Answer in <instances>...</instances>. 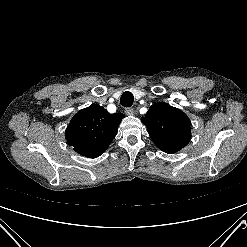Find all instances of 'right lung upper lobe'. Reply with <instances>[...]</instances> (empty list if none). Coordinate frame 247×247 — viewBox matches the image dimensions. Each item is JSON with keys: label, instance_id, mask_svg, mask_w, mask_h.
Masks as SVG:
<instances>
[{"label": "right lung upper lobe", "instance_id": "right-lung-upper-lobe-1", "mask_svg": "<svg viewBox=\"0 0 247 247\" xmlns=\"http://www.w3.org/2000/svg\"><path fill=\"white\" fill-rule=\"evenodd\" d=\"M122 113H108L99 104L80 110L65 131L68 144L79 154L96 158L103 154L118 131Z\"/></svg>", "mask_w": 247, "mask_h": 247}]
</instances>
